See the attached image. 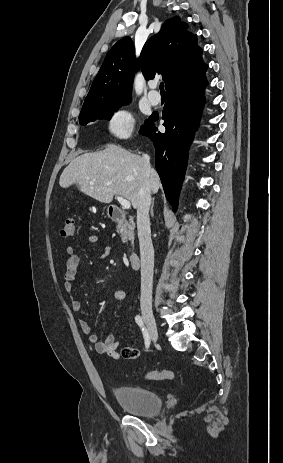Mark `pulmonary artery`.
<instances>
[{
    "mask_svg": "<svg viewBox=\"0 0 283 463\" xmlns=\"http://www.w3.org/2000/svg\"><path fill=\"white\" fill-rule=\"evenodd\" d=\"M150 88L151 90L149 91L147 98L151 105L156 106L161 101L160 95L156 92L157 84L156 83L151 84Z\"/></svg>",
    "mask_w": 283,
    "mask_h": 463,
    "instance_id": "pulmonary-artery-1",
    "label": "pulmonary artery"
}]
</instances>
